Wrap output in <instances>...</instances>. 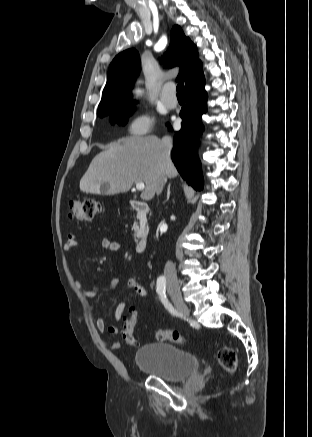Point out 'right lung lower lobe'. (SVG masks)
<instances>
[{
    "label": "right lung lower lobe",
    "mask_w": 312,
    "mask_h": 437,
    "mask_svg": "<svg viewBox=\"0 0 312 437\" xmlns=\"http://www.w3.org/2000/svg\"><path fill=\"white\" fill-rule=\"evenodd\" d=\"M204 75L185 87L186 105L181 109V130L174 136L171 153L178 172L195 190L203 188V177L197 157V144L204 130L201 116L207 110ZM171 129V128H170Z\"/></svg>",
    "instance_id": "right-lung-lower-lobe-1"
}]
</instances>
